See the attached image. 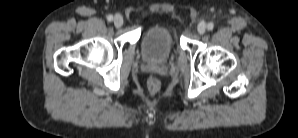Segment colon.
<instances>
[{
	"mask_svg": "<svg viewBox=\"0 0 298 138\" xmlns=\"http://www.w3.org/2000/svg\"><path fill=\"white\" fill-rule=\"evenodd\" d=\"M149 90L154 93L159 90L160 82L157 78H150L147 82Z\"/></svg>",
	"mask_w": 298,
	"mask_h": 138,
	"instance_id": "colon-1",
	"label": "colon"
}]
</instances>
